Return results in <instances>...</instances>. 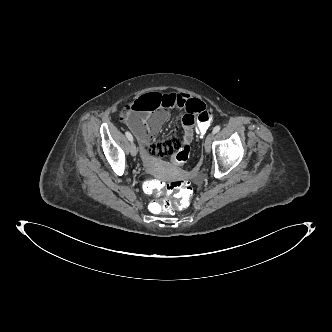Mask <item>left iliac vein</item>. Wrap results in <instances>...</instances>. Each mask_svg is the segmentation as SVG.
<instances>
[{
  "label": "left iliac vein",
  "mask_w": 332,
  "mask_h": 332,
  "mask_svg": "<svg viewBox=\"0 0 332 332\" xmlns=\"http://www.w3.org/2000/svg\"><path fill=\"white\" fill-rule=\"evenodd\" d=\"M213 137H214V133H210V134L206 137V140H205V143H204V147H205V151H206L207 153H209L210 150H211V144H212Z\"/></svg>",
  "instance_id": "left-iliac-vein-1"
}]
</instances>
